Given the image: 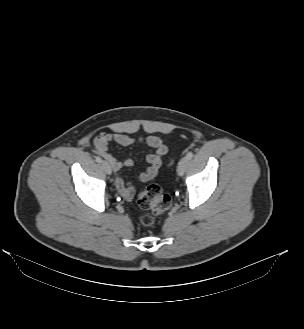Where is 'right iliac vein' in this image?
<instances>
[{
	"label": "right iliac vein",
	"instance_id": "obj_1",
	"mask_svg": "<svg viewBox=\"0 0 304 329\" xmlns=\"http://www.w3.org/2000/svg\"><path fill=\"white\" fill-rule=\"evenodd\" d=\"M101 165H102L104 171H105L107 174L110 175V174L112 173L111 167H110V165H109V163H108L107 161H102V162H101Z\"/></svg>",
	"mask_w": 304,
	"mask_h": 329
}]
</instances>
